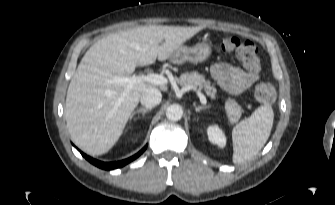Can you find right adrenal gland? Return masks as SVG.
<instances>
[{
	"label": "right adrenal gland",
	"mask_w": 335,
	"mask_h": 205,
	"mask_svg": "<svg viewBox=\"0 0 335 205\" xmlns=\"http://www.w3.org/2000/svg\"><path fill=\"white\" fill-rule=\"evenodd\" d=\"M151 110V108H140L137 109L136 111H134L130 117V119L132 120L133 117L138 114V113H142V116H144L147 112H149Z\"/></svg>",
	"instance_id": "obj_1"
}]
</instances>
